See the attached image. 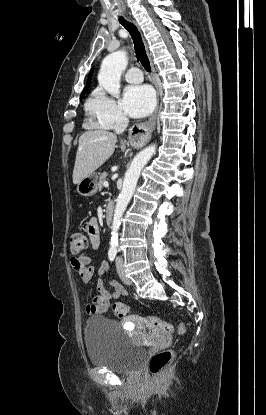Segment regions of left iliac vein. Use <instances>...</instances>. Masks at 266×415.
<instances>
[{
  "label": "left iliac vein",
  "instance_id": "1",
  "mask_svg": "<svg viewBox=\"0 0 266 415\" xmlns=\"http://www.w3.org/2000/svg\"><path fill=\"white\" fill-rule=\"evenodd\" d=\"M116 267H117L118 275L120 279L123 281V283L130 285L132 282L125 274L124 265H123V261L121 258H117Z\"/></svg>",
  "mask_w": 266,
  "mask_h": 415
}]
</instances>
